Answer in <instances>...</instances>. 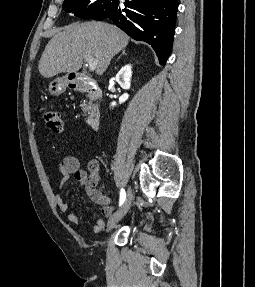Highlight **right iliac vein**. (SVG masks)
Masks as SVG:
<instances>
[{
	"label": "right iliac vein",
	"instance_id": "63e3f726",
	"mask_svg": "<svg viewBox=\"0 0 255 287\" xmlns=\"http://www.w3.org/2000/svg\"><path fill=\"white\" fill-rule=\"evenodd\" d=\"M132 196H133L132 191L129 188L127 197L123 205L108 220V223H107L108 231L113 229L116 226V224L126 215L132 203Z\"/></svg>",
	"mask_w": 255,
	"mask_h": 287
}]
</instances>
